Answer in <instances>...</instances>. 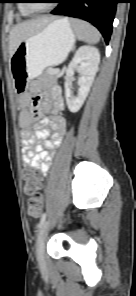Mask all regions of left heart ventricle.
<instances>
[{
  "label": "left heart ventricle",
  "mask_w": 136,
  "mask_h": 296,
  "mask_svg": "<svg viewBox=\"0 0 136 296\" xmlns=\"http://www.w3.org/2000/svg\"><path fill=\"white\" fill-rule=\"evenodd\" d=\"M33 4L37 7H42V6H46L47 3L40 1V0H36V1H34Z\"/></svg>",
  "instance_id": "left-heart-ventricle-1"
}]
</instances>
